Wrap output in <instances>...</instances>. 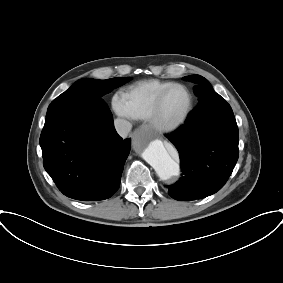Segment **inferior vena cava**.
Returning <instances> with one entry per match:
<instances>
[{"instance_id": "602c4592", "label": "inferior vena cava", "mask_w": 283, "mask_h": 283, "mask_svg": "<svg viewBox=\"0 0 283 283\" xmlns=\"http://www.w3.org/2000/svg\"><path fill=\"white\" fill-rule=\"evenodd\" d=\"M114 126L117 133L122 138H126L132 129V124L129 121L121 118H117L114 120Z\"/></svg>"}]
</instances>
